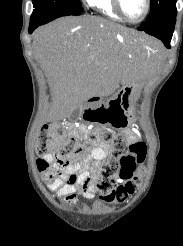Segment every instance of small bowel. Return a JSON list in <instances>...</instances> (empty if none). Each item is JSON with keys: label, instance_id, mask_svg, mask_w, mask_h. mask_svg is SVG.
I'll return each instance as SVG.
<instances>
[{"label": "small bowel", "instance_id": "c3829d8e", "mask_svg": "<svg viewBox=\"0 0 183 246\" xmlns=\"http://www.w3.org/2000/svg\"><path fill=\"white\" fill-rule=\"evenodd\" d=\"M86 132V127L81 126L79 128L80 134ZM126 138L129 144L138 141L137 134L131 130L126 132ZM108 150L107 144H97L90 152L92 162L84 167L62 166L56 162L55 154L47 155L45 159L49 162L50 168L44 172V176L50 189L57 192L69 203H75L78 195L87 199L93 198L96 191L95 180L98 177L101 162L108 156Z\"/></svg>", "mask_w": 183, "mask_h": 246}]
</instances>
